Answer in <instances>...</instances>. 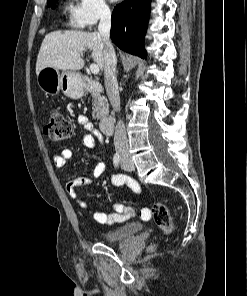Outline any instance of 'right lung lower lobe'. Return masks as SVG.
Returning a JSON list of instances; mask_svg holds the SVG:
<instances>
[{
  "label": "right lung lower lobe",
  "instance_id": "98d812e1",
  "mask_svg": "<svg viewBox=\"0 0 247 296\" xmlns=\"http://www.w3.org/2000/svg\"><path fill=\"white\" fill-rule=\"evenodd\" d=\"M151 0H126L116 5L112 13L110 36L122 50L146 57L144 35L150 15Z\"/></svg>",
  "mask_w": 247,
  "mask_h": 296
}]
</instances>
